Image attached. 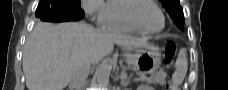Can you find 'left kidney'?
I'll return each mask as SVG.
<instances>
[{"label": "left kidney", "mask_w": 228, "mask_h": 90, "mask_svg": "<svg viewBox=\"0 0 228 90\" xmlns=\"http://www.w3.org/2000/svg\"><path fill=\"white\" fill-rule=\"evenodd\" d=\"M139 90H153V88L148 87V86H141Z\"/></svg>", "instance_id": "1"}]
</instances>
